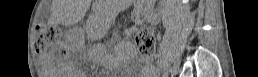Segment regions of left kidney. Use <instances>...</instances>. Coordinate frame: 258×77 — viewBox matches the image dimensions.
Segmentation results:
<instances>
[{"label": "left kidney", "mask_w": 258, "mask_h": 77, "mask_svg": "<svg viewBox=\"0 0 258 77\" xmlns=\"http://www.w3.org/2000/svg\"><path fill=\"white\" fill-rule=\"evenodd\" d=\"M188 0H183V2H187Z\"/></svg>", "instance_id": "5707ae66"}]
</instances>
